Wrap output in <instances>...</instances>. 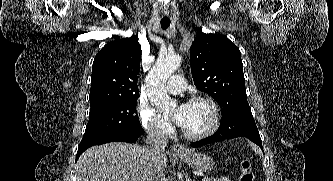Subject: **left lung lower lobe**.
Here are the masks:
<instances>
[{"mask_svg": "<svg viewBox=\"0 0 333 181\" xmlns=\"http://www.w3.org/2000/svg\"><path fill=\"white\" fill-rule=\"evenodd\" d=\"M233 123L234 122L232 120H221V125L215 134H213L211 137H208L206 139L191 143V146L197 148V147H201L203 145L209 144V143L219 142V141H223L226 139H232V138H236V137H245V136H236V135L230 134V131L232 130V128H234ZM229 124L232 126L228 127V129H227V126ZM246 138L250 139L251 141L256 143L261 149H263L261 140H256V139H252L249 137H246Z\"/></svg>", "mask_w": 333, "mask_h": 181, "instance_id": "0a47b994", "label": "left lung lower lobe"}]
</instances>
